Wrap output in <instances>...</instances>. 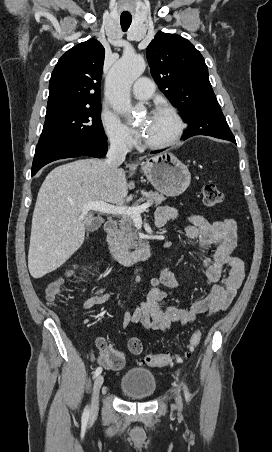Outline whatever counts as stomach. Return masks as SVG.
<instances>
[{"instance_id": "1", "label": "stomach", "mask_w": 272, "mask_h": 452, "mask_svg": "<svg viewBox=\"0 0 272 452\" xmlns=\"http://www.w3.org/2000/svg\"><path fill=\"white\" fill-rule=\"evenodd\" d=\"M141 168L152 186L166 196H178L190 185L188 167L170 152L152 156L141 164Z\"/></svg>"}]
</instances>
